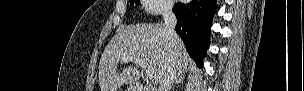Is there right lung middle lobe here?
Here are the masks:
<instances>
[{
  "mask_svg": "<svg viewBox=\"0 0 304 91\" xmlns=\"http://www.w3.org/2000/svg\"><path fill=\"white\" fill-rule=\"evenodd\" d=\"M140 0H130L131 5H133L134 3H139Z\"/></svg>",
  "mask_w": 304,
  "mask_h": 91,
  "instance_id": "dd1d6c3e",
  "label": "right lung middle lobe"
}]
</instances>
